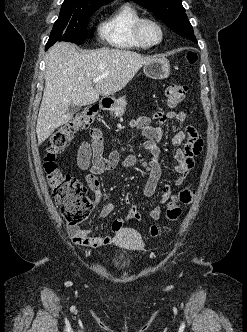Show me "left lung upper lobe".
Returning <instances> with one entry per match:
<instances>
[{
  "mask_svg": "<svg viewBox=\"0 0 247 332\" xmlns=\"http://www.w3.org/2000/svg\"><path fill=\"white\" fill-rule=\"evenodd\" d=\"M150 10L178 35L197 42L181 0H133Z\"/></svg>",
  "mask_w": 247,
  "mask_h": 332,
  "instance_id": "left-lung-upper-lobe-1",
  "label": "left lung upper lobe"
}]
</instances>
